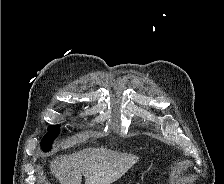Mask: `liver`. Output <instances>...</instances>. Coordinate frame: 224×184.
I'll list each match as a JSON object with an SVG mask.
<instances>
[{"label":"liver","instance_id":"6515ba94","mask_svg":"<svg viewBox=\"0 0 224 184\" xmlns=\"http://www.w3.org/2000/svg\"><path fill=\"white\" fill-rule=\"evenodd\" d=\"M139 158L104 148H87L56 157L50 164L51 173L60 184H111L121 178Z\"/></svg>","mask_w":224,"mask_h":184}]
</instances>
